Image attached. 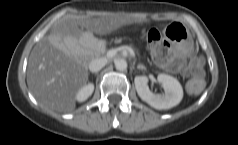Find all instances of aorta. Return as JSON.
<instances>
[{
  "label": "aorta",
  "instance_id": "aorta-1",
  "mask_svg": "<svg viewBox=\"0 0 238 145\" xmlns=\"http://www.w3.org/2000/svg\"><path fill=\"white\" fill-rule=\"evenodd\" d=\"M115 68L118 71H125L127 69V62L124 59H118L115 61Z\"/></svg>",
  "mask_w": 238,
  "mask_h": 145
}]
</instances>
